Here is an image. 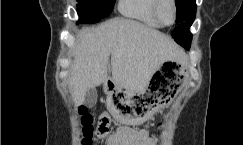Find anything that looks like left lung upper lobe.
Returning <instances> with one entry per match:
<instances>
[{"label": "left lung upper lobe", "instance_id": "1", "mask_svg": "<svg viewBox=\"0 0 243 145\" xmlns=\"http://www.w3.org/2000/svg\"><path fill=\"white\" fill-rule=\"evenodd\" d=\"M177 8L176 23L179 25L172 31L176 42L186 39L189 36V28L196 15V0H175Z\"/></svg>", "mask_w": 243, "mask_h": 145}]
</instances>
